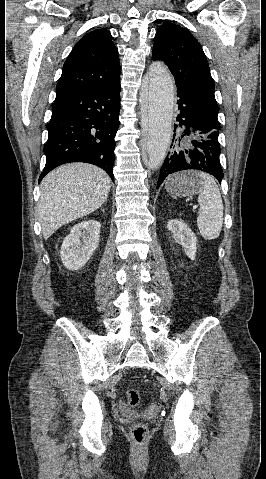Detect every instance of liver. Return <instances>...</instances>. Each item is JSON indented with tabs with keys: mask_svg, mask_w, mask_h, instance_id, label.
Returning <instances> with one entry per match:
<instances>
[{
	"mask_svg": "<svg viewBox=\"0 0 266 479\" xmlns=\"http://www.w3.org/2000/svg\"><path fill=\"white\" fill-rule=\"evenodd\" d=\"M110 188L107 173L91 164L71 163L51 171L41 183L38 203L44 239L63 225L100 208Z\"/></svg>",
	"mask_w": 266,
	"mask_h": 479,
	"instance_id": "obj_1",
	"label": "liver"
}]
</instances>
